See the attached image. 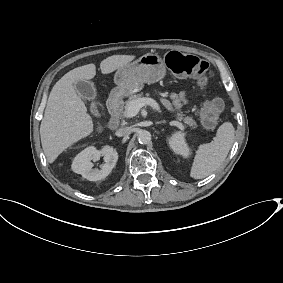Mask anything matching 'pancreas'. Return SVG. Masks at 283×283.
<instances>
[{
    "instance_id": "pancreas-1",
    "label": "pancreas",
    "mask_w": 283,
    "mask_h": 283,
    "mask_svg": "<svg viewBox=\"0 0 283 283\" xmlns=\"http://www.w3.org/2000/svg\"><path fill=\"white\" fill-rule=\"evenodd\" d=\"M150 94L147 93L146 96H149ZM140 98H143V95L141 93H137L133 96H130L127 101H120V104L118 107H110L108 106V111L112 116H125V111L128 106L133 101H136ZM171 106H169L170 108ZM174 116L176 117L177 122L183 121L185 126L189 127V130H193L194 126H196L195 120H193L191 117L184 115L183 112H175Z\"/></svg>"
}]
</instances>
